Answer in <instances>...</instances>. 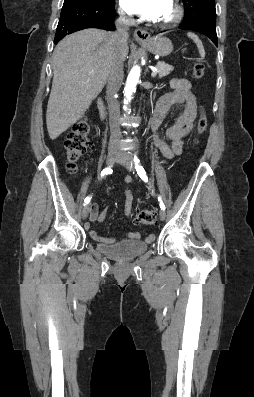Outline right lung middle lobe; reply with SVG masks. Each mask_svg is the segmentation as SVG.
<instances>
[{"label": "right lung middle lobe", "mask_w": 254, "mask_h": 397, "mask_svg": "<svg viewBox=\"0 0 254 397\" xmlns=\"http://www.w3.org/2000/svg\"><path fill=\"white\" fill-rule=\"evenodd\" d=\"M78 1L101 8H111L114 7L115 5V0H78Z\"/></svg>", "instance_id": "1"}]
</instances>
